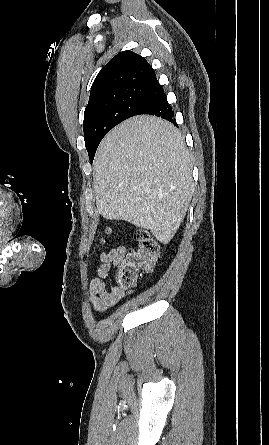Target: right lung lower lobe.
Instances as JSON below:
<instances>
[{
	"mask_svg": "<svg viewBox=\"0 0 269 445\" xmlns=\"http://www.w3.org/2000/svg\"><path fill=\"white\" fill-rule=\"evenodd\" d=\"M159 95L153 101L145 105L137 115L139 114H150L156 115L163 119L169 120L175 124V119H173L172 107L168 104L164 90L159 84L157 87Z\"/></svg>",
	"mask_w": 269,
	"mask_h": 445,
	"instance_id": "obj_1",
	"label": "right lung lower lobe"
}]
</instances>
